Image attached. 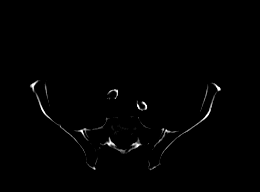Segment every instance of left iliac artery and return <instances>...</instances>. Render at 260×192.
<instances>
[{"instance_id":"1","label":"left iliac artery","mask_w":260,"mask_h":192,"mask_svg":"<svg viewBox=\"0 0 260 192\" xmlns=\"http://www.w3.org/2000/svg\"><path fill=\"white\" fill-rule=\"evenodd\" d=\"M139 108H144V103L143 102H140L139 105H138Z\"/></svg>"}]
</instances>
